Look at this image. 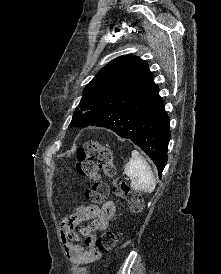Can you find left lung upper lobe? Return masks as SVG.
<instances>
[{"label": "left lung upper lobe", "mask_w": 221, "mask_h": 274, "mask_svg": "<svg viewBox=\"0 0 221 274\" xmlns=\"http://www.w3.org/2000/svg\"><path fill=\"white\" fill-rule=\"evenodd\" d=\"M148 64L134 55L120 56L87 84L69 126H90L94 111L136 98L152 80Z\"/></svg>", "instance_id": "obj_1"}]
</instances>
